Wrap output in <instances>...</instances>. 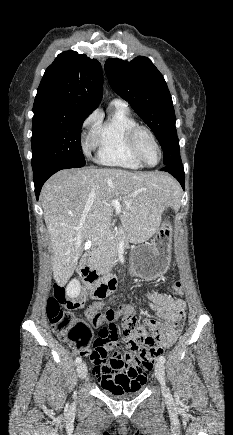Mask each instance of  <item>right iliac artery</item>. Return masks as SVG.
<instances>
[{
	"instance_id": "82829eb1",
	"label": "right iliac artery",
	"mask_w": 233,
	"mask_h": 435,
	"mask_svg": "<svg viewBox=\"0 0 233 435\" xmlns=\"http://www.w3.org/2000/svg\"><path fill=\"white\" fill-rule=\"evenodd\" d=\"M76 364H79L82 362V358L81 357H77L75 360Z\"/></svg>"
}]
</instances>
